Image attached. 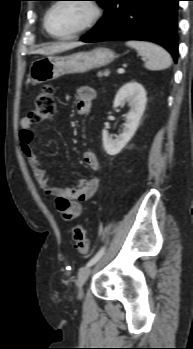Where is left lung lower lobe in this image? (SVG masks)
Wrapping results in <instances>:
<instances>
[{
    "label": "left lung lower lobe",
    "instance_id": "left-lung-lower-lobe-1",
    "mask_svg": "<svg viewBox=\"0 0 193 349\" xmlns=\"http://www.w3.org/2000/svg\"><path fill=\"white\" fill-rule=\"evenodd\" d=\"M180 0H108L102 21L83 42L145 40L178 57L177 9Z\"/></svg>",
    "mask_w": 193,
    "mask_h": 349
}]
</instances>
